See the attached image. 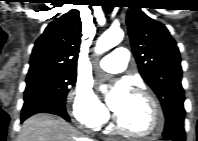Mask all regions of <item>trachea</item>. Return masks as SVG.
Here are the masks:
<instances>
[{
  "label": "trachea",
  "instance_id": "obj_1",
  "mask_svg": "<svg viewBox=\"0 0 198 141\" xmlns=\"http://www.w3.org/2000/svg\"><path fill=\"white\" fill-rule=\"evenodd\" d=\"M104 9H105V11H106L107 13H110L111 10H112V6H110V5H104Z\"/></svg>",
  "mask_w": 198,
  "mask_h": 141
}]
</instances>
